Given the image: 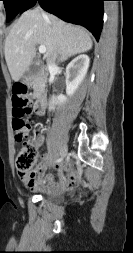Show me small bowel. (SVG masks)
Wrapping results in <instances>:
<instances>
[{
    "label": "small bowel",
    "instance_id": "1",
    "mask_svg": "<svg viewBox=\"0 0 133 253\" xmlns=\"http://www.w3.org/2000/svg\"><path fill=\"white\" fill-rule=\"evenodd\" d=\"M42 143L43 140L39 138L37 145L41 146ZM54 158L55 153L47 151L42 155L40 163L34 169L27 172H19V178L22 183L36 191L62 192L75 188L80 182V177L69 164L54 165L58 180H55L53 174L46 173V170L52 166Z\"/></svg>",
    "mask_w": 133,
    "mask_h": 253
}]
</instances>
